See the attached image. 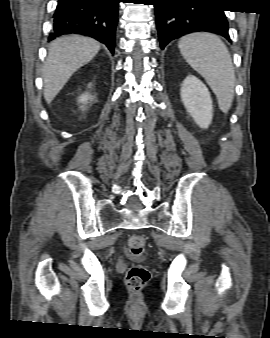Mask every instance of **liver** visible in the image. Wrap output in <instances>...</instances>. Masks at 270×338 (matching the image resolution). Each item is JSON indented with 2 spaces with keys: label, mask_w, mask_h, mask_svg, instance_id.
I'll return each instance as SVG.
<instances>
[{
  "label": "liver",
  "mask_w": 270,
  "mask_h": 338,
  "mask_svg": "<svg viewBox=\"0 0 270 338\" xmlns=\"http://www.w3.org/2000/svg\"><path fill=\"white\" fill-rule=\"evenodd\" d=\"M100 50V43L92 38L72 35L58 38L50 44L43 67L44 99L49 104L69 78L90 62Z\"/></svg>",
  "instance_id": "liver-1"
}]
</instances>
